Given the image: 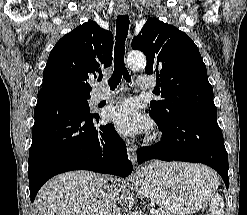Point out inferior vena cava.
I'll use <instances>...</instances> for the list:
<instances>
[{
  "label": "inferior vena cava",
  "mask_w": 247,
  "mask_h": 215,
  "mask_svg": "<svg viewBox=\"0 0 247 215\" xmlns=\"http://www.w3.org/2000/svg\"><path fill=\"white\" fill-rule=\"evenodd\" d=\"M119 191L110 187L106 195L104 215H121L120 208L117 206Z\"/></svg>",
  "instance_id": "obj_1"
}]
</instances>
